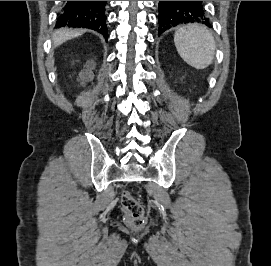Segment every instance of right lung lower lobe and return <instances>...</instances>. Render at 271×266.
Returning a JSON list of instances; mask_svg holds the SVG:
<instances>
[{"label": "right lung lower lobe", "mask_w": 271, "mask_h": 266, "mask_svg": "<svg viewBox=\"0 0 271 266\" xmlns=\"http://www.w3.org/2000/svg\"><path fill=\"white\" fill-rule=\"evenodd\" d=\"M107 1H66L56 27L93 29L108 38L105 6Z\"/></svg>", "instance_id": "1"}]
</instances>
